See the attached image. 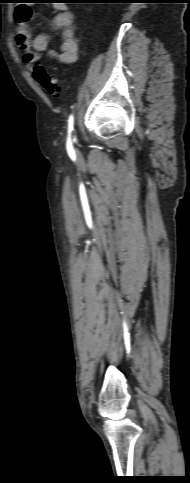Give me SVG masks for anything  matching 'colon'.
<instances>
[{"mask_svg":"<svg viewBox=\"0 0 190 483\" xmlns=\"http://www.w3.org/2000/svg\"><path fill=\"white\" fill-rule=\"evenodd\" d=\"M19 18L23 17L20 15ZM32 76L51 95L59 96L62 93L61 82L48 74L42 65H36L32 68Z\"/></svg>","mask_w":190,"mask_h":483,"instance_id":"1","label":"colon"}]
</instances>
